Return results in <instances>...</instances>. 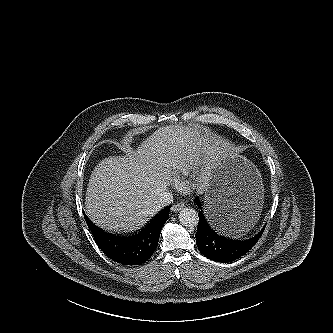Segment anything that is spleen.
<instances>
[{
    "label": "spleen",
    "mask_w": 333,
    "mask_h": 333,
    "mask_svg": "<svg viewBox=\"0 0 333 333\" xmlns=\"http://www.w3.org/2000/svg\"><path fill=\"white\" fill-rule=\"evenodd\" d=\"M257 209V208H256ZM256 209L250 210L242 218L234 220L227 231H223L226 236L240 237L244 232H247L259 219L260 214H257Z\"/></svg>",
    "instance_id": "3e777b00"
}]
</instances>
